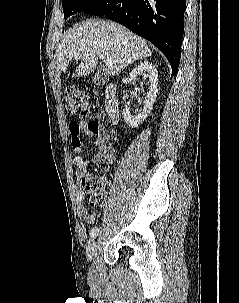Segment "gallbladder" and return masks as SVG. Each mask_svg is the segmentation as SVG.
<instances>
[{"instance_id":"bac80fb5","label":"gallbladder","mask_w":239,"mask_h":303,"mask_svg":"<svg viewBox=\"0 0 239 303\" xmlns=\"http://www.w3.org/2000/svg\"><path fill=\"white\" fill-rule=\"evenodd\" d=\"M107 80V77L101 73V71H98L95 76L93 77L92 81L96 85H100L101 83H105Z\"/></svg>"}]
</instances>
